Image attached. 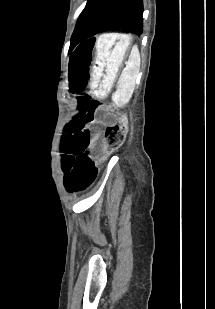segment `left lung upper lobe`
Masks as SVG:
<instances>
[{
    "instance_id": "5c2ea615",
    "label": "left lung upper lobe",
    "mask_w": 215,
    "mask_h": 309,
    "mask_svg": "<svg viewBox=\"0 0 215 309\" xmlns=\"http://www.w3.org/2000/svg\"><path fill=\"white\" fill-rule=\"evenodd\" d=\"M142 14V0H88L72 34L71 47L110 30L142 34Z\"/></svg>"
}]
</instances>
